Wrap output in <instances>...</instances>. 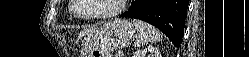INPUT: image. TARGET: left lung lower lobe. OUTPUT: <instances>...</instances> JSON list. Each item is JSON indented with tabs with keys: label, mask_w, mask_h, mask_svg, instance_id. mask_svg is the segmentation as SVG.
I'll use <instances>...</instances> for the list:
<instances>
[{
	"label": "left lung lower lobe",
	"mask_w": 249,
	"mask_h": 57,
	"mask_svg": "<svg viewBox=\"0 0 249 57\" xmlns=\"http://www.w3.org/2000/svg\"><path fill=\"white\" fill-rule=\"evenodd\" d=\"M188 0H133L120 17L146 21L161 30L178 47L184 34Z\"/></svg>",
	"instance_id": "left-lung-lower-lobe-1"
}]
</instances>
